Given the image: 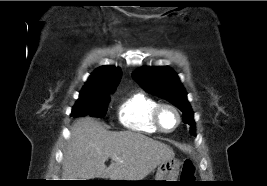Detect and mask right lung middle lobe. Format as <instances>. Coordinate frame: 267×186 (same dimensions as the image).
I'll use <instances>...</instances> for the list:
<instances>
[{
  "label": "right lung middle lobe",
  "instance_id": "right-lung-middle-lobe-1",
  "mask_svg": "<svg viewBox=\"0 0 267 186\" xmlns=\"http://www.w3.org/2000/svg\"><path fill=\"white\" fill-rule=\"evenodd\" d=\"M114 90L80 92L79 99L72 108L71 116H93L102 118L106 115L109 94Z\"/></svg>",
  "mask_w": 267,
  "mask_h": 186
}]
</instances>
